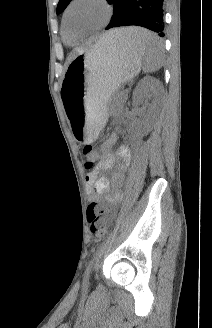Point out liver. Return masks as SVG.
Segmentation results:
<instances>
[{"label":"liver","mask_w":212,"mask_h":328,"mask_svg":"<svg viewBox=\"0 0 212 328\" xmlns=\"http://www.w3.org/2000/svg\"><path fill=\"white\" fill-rule=\"evenodd\" d=\"M131 31H132V28H122V29H116V30H112L106 34H104L102 37H111V36H117L119 37L121 40H124V41H127L129 42V39H130V35H131ZM101 37V38H102ZM100 38V39H101ZM84 50L82 49H75L72 53V57H71V60H73L76 55L80 54V53H83Z\"/></svg>","instance_id":"liver-1"}]
</instances>
